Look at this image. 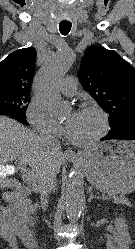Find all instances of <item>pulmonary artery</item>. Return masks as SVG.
Masks as SVG:
<instances>
[{"instance_id":"1","label":"pulmonary artery","mask_w":135,"mask_h":249,"mask_svg":"<svg viewBox=\"0 0 135 249\" xmlns=\"http://www.w3.org/2000/svg\"><path fill=\"white\" fill-rule=\"evenodd\" d=\"M77 80L74 76H67L60 84V91L65 96H74L77 92Z\"/></svg>"}]
</instances>
